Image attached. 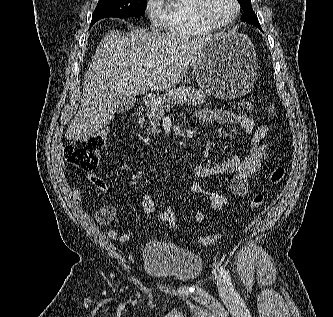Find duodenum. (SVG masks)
Here are the masks:
<instances>
[{
    "mask_svg": "<svg viewBox=\"0 0 333 317\" xmlns=\"http://www.w3.org/2000/svg\"><path fill=\"white\" fill-rule=\"evenodd\" d=\"M155 103V98L153 96H146L140 108L135 112V117H139L143 110L150 108Z\"/></svg>",
    "mask_w": 333,
    "mask_h": 317,
    "instance_id": "obj_1",
    "label": "duodenum"
}]
</instances>
